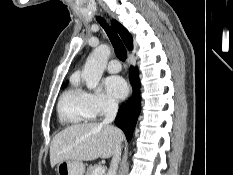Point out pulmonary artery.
Wrapping results in <instances>:
<instances>
[{
    "label": "pulmonary artery",
    "mask_w": 233,
    "mask_h": 175,
    "mask_svg": "<svg viewBox=\"0 0 233 175\" xmlns=\"http://www.w3.org/2000/svg\"><path fill=\"white\" fill-rule=\"evenodd\" d=\"M121 70V64L117 59H112L107 64V71L110 73H117Z\"/></svg>",
    "instance_id": "1"
}]
</instances>
